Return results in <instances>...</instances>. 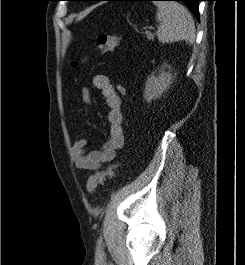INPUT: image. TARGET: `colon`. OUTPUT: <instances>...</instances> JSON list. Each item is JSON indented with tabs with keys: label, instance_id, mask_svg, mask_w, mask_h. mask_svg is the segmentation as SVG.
<instances>
[{
	"label": "colon",
	"instance_id": "5ec220e1",
	"mask_svg": "<svg viewBox=\"0 0 245 265\" xmlns=\"http://www.w3.org/2000/svg\"><path fill=\"white\" fill-rule=\"evenodd\" d=\"M120 41L121 38L118 35L102 33L96 38L94 44L95 50L100 54L111 52L120 44ZM85 60L86 58L82 59V61ZM73 65H76V63L74 62ZM118 90L121 94H125L127 91L124 84H119ZM116 167L117 164H111L107 168L97 171L93 175H91L86 184L87 191L91 194L96 193L103 180L106 177L113 175Z\"/></svg>",
	"mask_w": 245,
	"mask_h": 265
}]
</instances>
